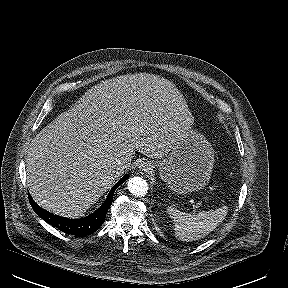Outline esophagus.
I'll return each mask as SVG.
<instances>
[{"instance_id": "1", "label": "esophagus", "mask_w": 288, "mask_h": 288, "mask_svg": "<svg viewBox=\"0 0 288 288\" xmlns=\"http://www.w3.org/2000/svg\"><path fill=\"white\" fill-rule=\"evenodd\" d=\"M139 170L142 172H147L150 173L152 171V166L149 162L147 161H142L139 166H138Z\"/></svg>"}]
</instances>
